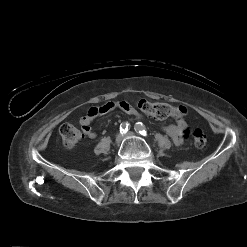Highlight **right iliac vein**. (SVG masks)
I'll return each mask as SVG.
<instances>
[{
  "label": "right iliac vein",
  "mask_w": 247,
  "mask_h": 247,
  "mask_svg": "<svg viewBox=\"0 0 247 247\" xmlns=\"http://www.w3.org/2000/svg\"><path fill=\"white\" fill-rule=\"evenodd\" d=\"M122 140H123V135L122 134H118L116 136L115 142H116V144L119 145L122 142Z\"/></svg>",
  "instance_id": "1"
}]
</instances>
